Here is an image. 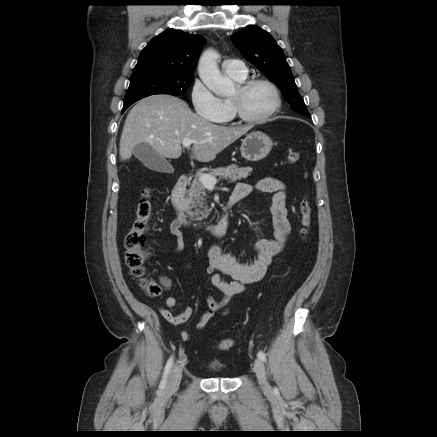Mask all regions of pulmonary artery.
I'll return each mask as SVG.
<instances>
[{
	"mask_svg": "<svg viewBox=\"0 0 437 437\" xmlns=\"http://www.w3.org/2000/svg\"><path fill=\"white\" fill-rule=\"evenodd\" d=\"M223 71L234 78H244L247 75V70L244 63L237 59H227L222 63Z\"/></svg>",
	"mask_w": 437,
	"mask_h": 437,
	"instance_id": "pulmonary-artery-1",
	"label": "pulmonary artery"
}]
</instances>
